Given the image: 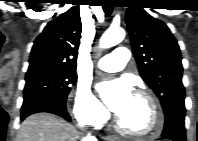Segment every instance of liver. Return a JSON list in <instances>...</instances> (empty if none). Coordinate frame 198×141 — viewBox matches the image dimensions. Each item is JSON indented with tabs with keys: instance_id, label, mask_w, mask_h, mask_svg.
Instances as JSON below:
<instances>
[{
	"instance_id": "liver-1",
	"label": "liver",
	"mask_w": 198,
	"mask_h": 141,
	"mask_svg": "<svg viewBox=\"0 0 198 141\" xmlns=\"http://www.w3.org/2000/svg\"><path fill=\"white\" fill-rule=\"evenodd\" d=\"M77 130L64 119L38 113L26 118L19 130L17 141H77Z\"/></svg>"
}]
</instances>
